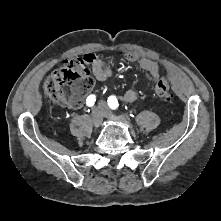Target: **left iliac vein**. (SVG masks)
I'll use <instances>...</instances> for the list:
<instances>
[{"label":"left iliac vein","mask_w":221,"mask_h":221,"mask_svg":"<svg viewBox=\"0 0 221 221\" xmlns=\"http://www.w3.org/2000/svg\"><path fill=\"white\" fill-rule=\"evenodd\" d=\"M99 106L102 107V109L104 111V117L112 119V120H117V118L112 114V112L107 107L105 102H100Z\"/></svg>","instance_id":"obj_1"}]
</instances>
